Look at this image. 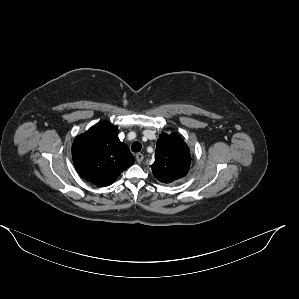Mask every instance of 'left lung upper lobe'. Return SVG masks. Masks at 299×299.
<instances>
[{
  "label": "left lung upper lobe",
  "instance_id": "5c2ea615",
  "mask_svg": "<svg viewBox=\"0 0 299 299\" xmlns=\"http://www.w3.org/2000/svg\"><path fill=\"white\" fill-rule=\"evenodd\" d=\"M190 150L177 134L162 133L156 144L155 162L151 165L153 175L162 183H171L184 177L190 167Z\"/></svg>",
  "mask_w": 299,
  "mask_h": 299
}]
</instances>
